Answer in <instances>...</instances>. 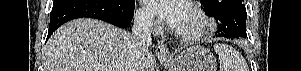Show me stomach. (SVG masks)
I'll list each match as a JSON object with an SVG mask.
<instances>
[{"instance_id":"obj_1","label":"stomach","mask_w":301,"mask_h":71,"mask_svg":"<svg viewBox=\"0 0 301 71\" xmlns=\"http://www.w3.org/2000/svg\"><path fill=\"white\" fill-rule=\"evenodd\" d=\"M170 71H216L217 62L213 53L202 46H193L170 60L160 59Z\"/></svg>"}]
</instances>
